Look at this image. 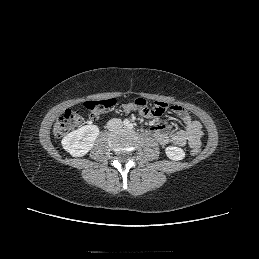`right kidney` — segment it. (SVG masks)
<instances>
[{
	"mask_svg": "<svg viewBox=\"0 0 259 259\" xmlns=\"http://www.w3.org/2000/svg\"><path fill=\"white\" fill-rule=\"evenodd\" d=\"M98 135V126L85 125L67 134L61 143L63 148L72 156L81 157L91 150Z\"/></svg>",
	"mask_w": 259,
	"mask_h": 259,
	"instance_id": "1",
	"label": "right kidney"
}]
</instances>
